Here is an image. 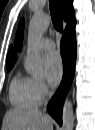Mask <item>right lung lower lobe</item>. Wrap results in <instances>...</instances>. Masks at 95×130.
Wrapping results in <instances>:
<instances>
[{
	"label": "right lung lower lobe",
	"instance_id": "obj_1",
	"mask_svg": "<svg viewBox=\"0 0 95 130\" xmlns=\"http://www.w3.org/2000/svg\"><path fill=\"white\" fill-rule=\"evenodd\" d=\"M60 51L64 64V74L61 85L51 99L47 110L50 115L61 125L62 107L66 94L72 83L76 61V36L75 28L64 33L60 44Z\"/></svg>",
	"mask_w": 95,
	"mask_h": 130
}]
</instances>
